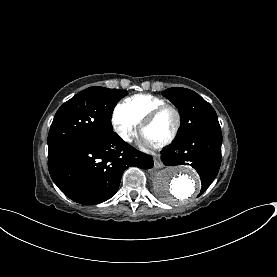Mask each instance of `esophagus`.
<instances>
[{"label": "esophagus", "instance_id": "esophagus-1", "mask_svg": "<svg viewBox=\"0 0 277 277\" xmlns=\"http://www.w3.org/2000/svg\"><path fill=\"white\" fill-rule=\"evenodd\" d=\"M154 167L158 168V169L163 167V163L161 162V160L158 157L155 158V160H154Z\"/></svg>", "mask_w": 277, "mask_h": 277}]
</instances>
